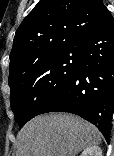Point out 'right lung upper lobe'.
<instances>
[{"label": "right lung upper lobe", "instance_id": "cb5924a9", "mask_svg": "<svg viewBox=\"0 0 114 156\" xmlns=\"http://www.w3.org/2000/svg\"><path fill=\"white\" fill-rule=\"evenodd\" d=\"M107 13L102 0H40L16 31L8 83L40 61L76 47Z\"/></svg>", "mask_w": 114, "mask_h": 156}]
</instances>
